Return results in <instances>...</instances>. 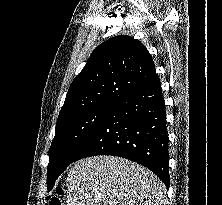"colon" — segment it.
<instances>
[{"instance_id": "obj_1", "label": "colon", "mask_w": 222, "mask_h": 205, "mask_svg": "<svg viewBox=\"0 0 222 205\" xmlns=\"http://www.w3.org/2000/svg\"><path fill=\"white\" fill-rule=\"evenodd\" d=\"M49 205H63L62 190L58 189L55 194L49 196Z\"/></svg>"}]
</instances>
